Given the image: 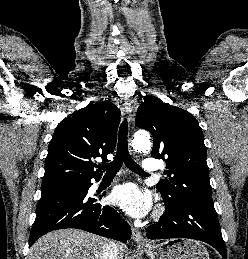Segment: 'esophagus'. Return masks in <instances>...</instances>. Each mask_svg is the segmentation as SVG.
Here are the masks:
<instances>
[{
	"instance_id": "1",
	"label": "esophagus",
	"mask_w": 248,
	"mask_h": 259,
	"mask_svg": "<svg viewBox=\"0 0 248 259\" xmlns=\"http://www.w3.org/2000/svg\"><path fill=\"white\" fill-rule=\"evenodd\" d=\"M124 111L127 115L129 123H133L135 119V113H134V107L132 104V101L130 99H127L124 102ZM132 238L135 242L140 243V244H147L146 239L143 237L141 231H139L136 228L132 229Z\"/></svg>"
}]
</instances>
